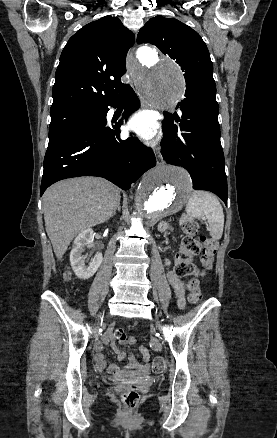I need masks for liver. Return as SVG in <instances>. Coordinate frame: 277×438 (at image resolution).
Listing matches in <instances>:
<instances>
[{"label": "liver", "instance_id": "1", "mask_svg": "<svg viewBox=\"0 0 277 438\" xmlns=\"http://www.w3.org/2000/svg\"><path fill=\"white\" fill-rule=\"evenodd\" d=\"M120 198L119 188L102 178H70L50 186L43 196V210L57 260H62L79 232L115 216Z\"/></svg>", "mask_w": 277, "mask_h": 438}]
</instances>
